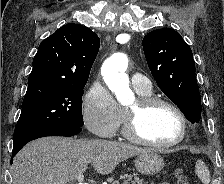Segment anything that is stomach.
<instances>
[{
	"label": "stomach",
	"mask_w": 224,
	"mask_h": 184,
	"mask_svg": "<svg viewBox=\"0 0 224 184\" xmlns=\"http://www.w3.org/2000/svg\"><path fill=\"white\" fill-rule=\"evenodd\" d=\"M135 167L139 173L153 176L162 170L164 160L159 154L148 151L137 156L135 159Z\"/></svg>",
	"instance_id": "stomach-1"
}]
</instances>
